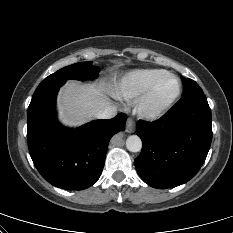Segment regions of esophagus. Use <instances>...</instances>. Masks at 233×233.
Wrapping results in <instances>:
<instances>
[{
	"label": "esophagus",
	"mask_w": 233,
	"mask_h": 233,
	"mask_svg": "<svg viewBox=\"0 0 233 233\" xmlns=\"http://www.w3.org/2000/svg\"><path fill=\"white\" fill-rule=\"evenodd\" d=\"M135 121L132 118H128L126 121V131L128 133H133L135 131Z\"/></svg>",
	"instance_id": "1"
}]
</instances>
